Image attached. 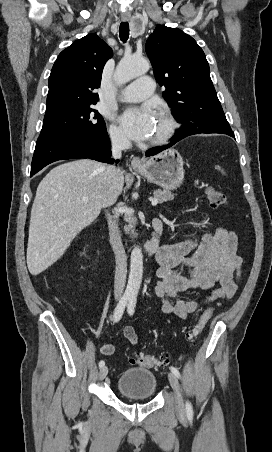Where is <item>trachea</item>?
<instances>
[{"label":"trachea","instance_id":"1","mask_svg":"<svg viewBox=\"0 0 272 452\" xmlns=\"http://www.w3.org/2000/svg\"><path fill=\"white\" fill-rule=\"evenodd\" d=\"M119 37L121 41L126 42L129 37V24L128 22H121L119 28Z\"/></svg>","mask_w":272,"mask_h":452}]
</instances>
